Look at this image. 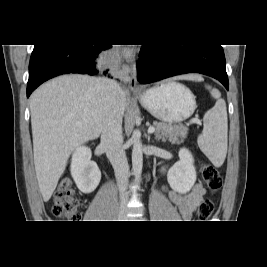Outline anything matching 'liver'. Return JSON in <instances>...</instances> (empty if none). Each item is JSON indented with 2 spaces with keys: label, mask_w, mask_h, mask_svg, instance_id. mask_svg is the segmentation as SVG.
Segmentation results:
<instances>
[{
  "label": "liver",
  "mask_w": 267,
  "mask_h": 267,
  "mask_svg": "<svg viewBox=\"0 0 267 267\" xmlns=\"http://www.w3.org/2000/svg\"><path fill=\"white\" fill-rule=\"evenodd\" d=\"M177 79L203 80L191 74ZM102 80L64 75L43 84L30 97L34 165L45 202L56 189L72 151L102 132L106 110ZM117 101L123 116L126 95L121 88Z\"/></svg>",
  "instance_id": "liver-1"
}]
</instances>
